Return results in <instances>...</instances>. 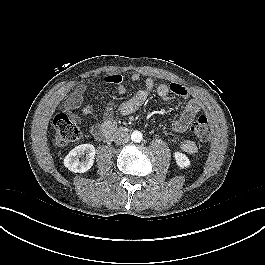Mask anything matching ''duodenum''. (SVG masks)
Listing matches in <instances>:
<instances>
[{
  "label": "duodenum",
  "mask_w": 265,
  "mask_h": 265,
  "mask_svg": "<svg viewBox=\"0 0 265 265\" xmlns=\"http://www.w3.org/2000/svg\"><path fill=\"white\" fill-rule=\"evenodd\" d=\"M127 130L126 127H118V128H115L111 133L109 134H102V136L100 138H103V139H110L118 134H121V133H124L125 131Z\"/></svg>",
  "instance_id": "obj_1"
}]
</instances>
